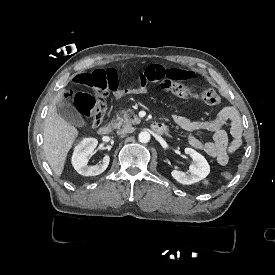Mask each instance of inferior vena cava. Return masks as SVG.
Returning a JSON list of instances; mask_svg holds the SVG:
<instances>
[{"label": "inferior vena cava", "mask_w": 275, "mask_h": 275, "mask_svg": "<svg viewBox=\"0 0 275 275\" xmlns=\"http://www.w3.org/2000/svg\"><path fill=\"white\" fill-rule=\"evenodd\" d=\"M134 131V128L133 127H126V128H123V129H120L117 131V134L118 135H123V134H128V133H132Z\"/></svg>", "instance_id": "602c4592"}]
</instances>
